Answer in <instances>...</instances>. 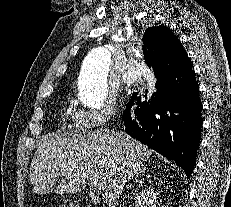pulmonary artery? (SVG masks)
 <instances>
[{
    "mask_svg": "<svg viewBox=\"0 0 231 207\" xmlns=\"http://www.w3.org/2000/svg\"><path fill=\"white\" fill-rule=\"evenodd\" d=\"M139 77V73L133 74L132 68H128L127 72L122 76V82L124 84H131Z\"/></svg>",
    "mask_w": 231,
    "mask_h": 207,
    "instance_id": "1",
    "label": "pulmonary artery"
}]
</instances>
